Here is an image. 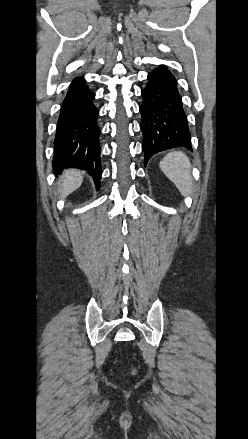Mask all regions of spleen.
Here are the masks:
<instances>
[{
	"mask_svg": "<svg viewBox=\"0 0 248 439\" xmlns=\"http://www.w3.org/2000/svg\"><path fill=\"white\" fill-rule=\"evenodd\" d=\"M160 169L174 183L180 193L190 196L192 191L191 164L181 151L168 153L160 162Z\"/></svg>",
	"mask_w": 248,
	"mask_h": 439,
	"instance_id": "obj_1",
	"label": "spleen"
}]
</instances>
